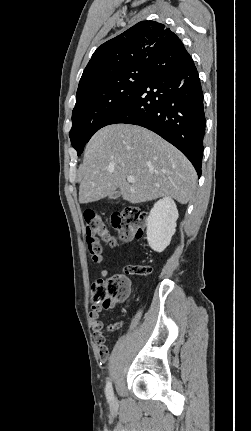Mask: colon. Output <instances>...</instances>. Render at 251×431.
Segmentation results:
<instances>
[{
	"label": "colon",
	"instance_id": "1",
	"mask_svg": "<svg viewBox=\"0 0 251 431\" xmlns=\"http://www.w3.org/2000/svg\"><path fill=\"white\" fill-rule=\"evenodd\" d=\"M147 213L139 207H127L111 217L112 228L116 236L110 233L105 221L95 212L84 213V234L88 251L94 261L100 262L104 257V244L113 245L127 242L144 236ZM144 266L129 265L126 275H116L106 279H97L91 286V298L96 306L108 309L122 303L130 292V281L127 275H143ZM118 325H114L116 327Z\"/></svg>",
	"mask_w": 251,
	"mask_h": 431
}]
</instances>
